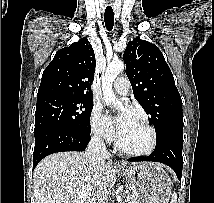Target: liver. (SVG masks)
<instances>
[{"mask_svg": "<svg viewBox=\"0 0 214 203\" xmlns=\"http://www.w3.org/2000/svg\"><path fill=\"white\" fill-rule=\"evenodd\" d=\"M115 182L110 162L94 165L85 153H55L34 170L35 203H91L100 188L108 192ZM79 191H85L86 197H79Z\"/></svg>", "mask_w": 214, "mask_h": 203, "instance_id": "liver-1", "label": "liver"}]
</instances>
